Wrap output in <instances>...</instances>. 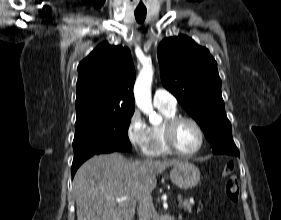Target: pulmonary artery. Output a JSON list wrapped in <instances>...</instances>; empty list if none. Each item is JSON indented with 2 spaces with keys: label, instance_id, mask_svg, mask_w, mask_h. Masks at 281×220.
<instances>
[{
  "label": "pulmonary artery",
  "instance_id": "e3ab8cb5",
  "mask_svg": "<svg viewBox=\"0 0 281 220\" xmlns=\"http://www.w3.org/2000/svg\"><path fill=\"white\" fill-rule=\"evenodd\" d=\"M153 103L156 107L175 109L177 100L175 96L166 89L158 88L154 92Z\"/></svg>",
  "mask_w": 281,
  "mask_h": 220
}]
</instances>
